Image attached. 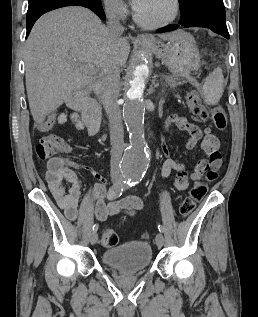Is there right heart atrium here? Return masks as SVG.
I'll list each match as a JSON object with an SVG mask.
<instances>
[{
    "instance_id": "1",
    "label": "right heart atrium",
    "mask_w": 258,
    "mask_h": 317,
    "mask_svg": "<svg viewBox=\"0 0 258 317\" xmlns=\"http://www.w3.org/2000/svg\"><path fill=\"white\" fill-rule=\"evenodd\" d=\"M103 7L109 17L123 19L127 14V7L121 0H105Z\"/></svg>"
}]
</instances>
